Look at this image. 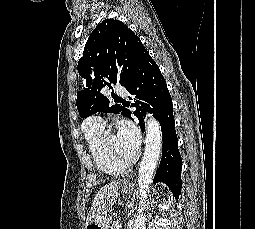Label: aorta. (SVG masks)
<instances>
[{
    "instance_id": "762f6f07",
    "label": "aorta",
    "mask_w": 255,
    "mask_h": 229,
    "mask_svg": "<svg viewBox=\"0 0 255 229\" xmlns=\"http://www.w3.org/2000/svg\"><path fill=\"white\" fill-rule=\"evenodd\" d=\"M161 149L162 130L160 123L155 118L149 117L146 121L145 150L138 171L139 212L135 217L133 229H145L146 216L143 212Z\"/></svg>"
}]
</instances>
